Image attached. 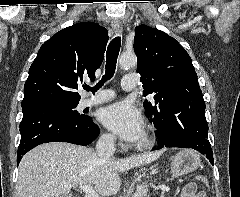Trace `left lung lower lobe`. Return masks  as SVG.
I'll return each mask as SVG.
<instances>
[{"instance_id": "obj_1", "label": "left lung lower lobe", "mask_w": 240, "mask_h": 197, "mask_svg": "<svg viewBox=\"0 0 240 197\" xmlns=\"http://www.w3.org/2000/svg\"><path fill=\"white\" fill-rule=\"evenodd\" d=\"M149 120L157 129L155 134L158 146L155 149L192 148L204 154L214 164L202 98H186L177 110L160 111Z\"/></svg>"}]
</instances>
